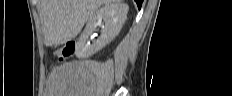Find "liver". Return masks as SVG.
I'll use <instances>...</instances> for the list:
<instances>
[{
  "instance_id": "1",
  "label": "liver",
  "mask_w": 232,
  "mask_h": 96,
  "mask_svg": "<svg viewBox=\"0 0 232 96\" xmlns=\"http://www.w3.org/2000/svg\"><path fill=\"white\" fill-rule=\"evenodd\" d=\"M111 1L40 0L46 46H58L75 38L98 7Z\"/></svg>"
}]
</instances>
